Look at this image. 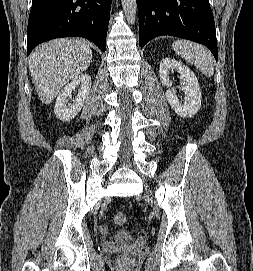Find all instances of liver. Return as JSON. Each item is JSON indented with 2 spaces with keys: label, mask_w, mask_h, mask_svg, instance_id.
<instances>
[{
  "label": "liver",
  "mask_w": 253,
  "mask_h": 271,
  "mask_svg": "<svg viewBox=\"0 0 253 271\" xmlns=\"http://www.w3.org/2000/svg\"><path fill=\"white\" fill-rule=\"evenodd\" d=\"M91 60L92 50L82 39H55L37 47L29 57V70L42 103L50 104Z\"/></svg>",
  "instance_id": "obj_1"
}]
</instances>
